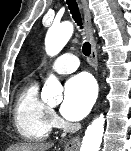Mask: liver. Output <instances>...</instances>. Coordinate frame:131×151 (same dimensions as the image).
<instances>
[{
    "instance_id": "liver-1",
    "label": "liver",
    "mask_w": 131,
    "mask_h": 151,
    "mask_svg": "<svg viewBox=\"0 0 131 151\" xmlns=\"http://www.w3.org/2000/svg\"><path fill=\"white\" fill-rule=\"evenodd\" d=\"M52 146V143H23L10 147L8 151H47Z\"/></svg>"
}]
</instances>
